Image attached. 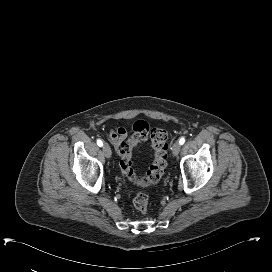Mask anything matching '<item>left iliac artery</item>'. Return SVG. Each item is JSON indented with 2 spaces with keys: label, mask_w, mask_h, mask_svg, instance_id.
I'll return each instance as SVG.
<instances>
[{
  "label": "left iliac artery",
  "mask_w": 272,
  "mask_h": 272,
  "mask_svg": "<svg viewBox=\"0 0 272 272\" xmlns=\"http://www.w3.org/2000/svg\"><path fill=\"white\" fill-rule=\"evenodd\" d=\"M179 143L180 145H183L185 143V138L184 137L180 138Z\"/></svg>",
  "instance_id": "1"
}]
</instances>
